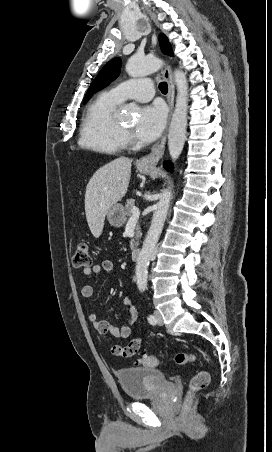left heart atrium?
Returning a JSON list of instances; mask_svg holds the SVG:
<instances>
[{
    "mask_svg": "<svg viewBox=\"0 0 272 452\" xmlns=\"http://www.w3.org/2000/svg\"><path fill=\"white\" fill-rule=\"evenodd\" d=\"M165 122L166 111L161 104L147 105L140 111L135 134L143 141H152L160 135Z\"/></svg>",
    "mask_w": 272,
    "mask_h": 452,
    "instance_id": "left-heart-atrium-1",
    "label": "left heart atrium"
}]
</instances>
